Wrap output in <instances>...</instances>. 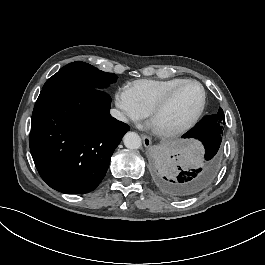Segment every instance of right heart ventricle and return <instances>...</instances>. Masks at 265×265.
Instances as JSON below:
<instances>
[{
	"instance_id": "right-heart-ventricle-1",
	"label": "right heart ventricle",
	"mask_w": 265,
	"mask_h": 265,
	"mask_svg": "<svg viewBox=\"0 0 265 265\" xmlns=\"http://www.w3.org/2000/svg\"><path fill=\"white\" fill-rule=\"evenodd\" d=\"M184 79H142L129 83L127 87L131 90L137 105L148 115L153 107Z\"/></svg>"
}]
</instances>
